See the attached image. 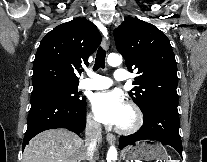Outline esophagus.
<instances>
[{"label": "esophagus", "mask_w": 207, "mask_h": 162, "mask_svg": "<svg viewBox=\"0 0 207 162\" xmlns=\"http://www.w3.org/2000/svg\"><path fill=\"white\" fill-rule=\"evenodd\" d=\"M109 45H110V35L108 32L107 35L103 37V44H102L103 49L107 50L109 48ZM106 139L110 144H114L116 142L115 136L110 133L107 134Z\"/></svg>", "instance_id": "1"}]
</instances>
